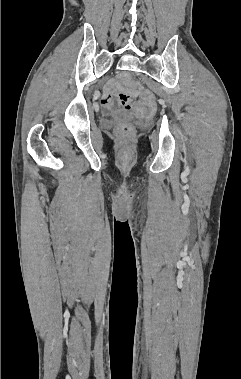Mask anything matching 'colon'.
<instances>
[{
    "instance_id": "1",
    "label": "colon",
    "mask_w": 241,
    "mask_h": 379,
    "mask_svg": "<svg viewBox=\"0 0 241 379\" xmlns=\"http://www.w3.org/2000/svg\"><path fill=\"white\" fill-rule=\"evenodd\" d=\"M119 104L125 108L131 110H137L141 115H148L152 108L151 97H141L139 103H132L130 96L124 92L116 94ZM133 133V127L130 124H124L118 128V134L122 137H128Z\"/></svg>"
}]
</instances>
